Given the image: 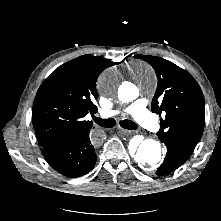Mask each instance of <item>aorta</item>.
Listing matches in <instances>:
<instances>
[{"label":"aorta","mask_w":221,"mask_h":221,"mask_svg":"<svg viewBox=\"0 0 221 221\" xmlns=\"http://www.w3.org/2000/svg\"><path fill=\"white\" fill-rule=\"evenodd\" d=\"M137 67L148 73L150 77H153L152 69L144 63H140ZM101 90L108 96L112 95L116 87V76L114 73H106L100 80ZM118 97L123 102H129L137 97V91H118ZM135 162L142 167H156L162 157L161 145L154 140H144L140 143L138 148H135L132 152Z\"/></svg>","instance_id":"762f6f07"}]
</instances>
